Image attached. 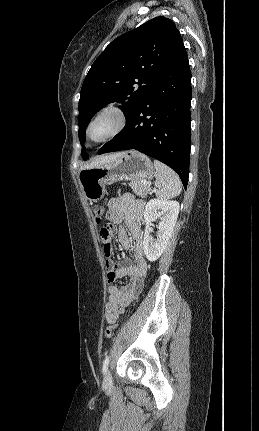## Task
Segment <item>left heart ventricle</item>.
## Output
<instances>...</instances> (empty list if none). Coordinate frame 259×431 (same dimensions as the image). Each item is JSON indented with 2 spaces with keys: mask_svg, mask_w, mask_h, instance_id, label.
Segmentation results:
<instances>
[{
  "mask_svg": "<svg viewBox=\"0 0 259 431\" xmlns=\"http://www.w3.org/2000/svg\"><path fill=\"white\" fill-rule=\"evenodd\" d=\"M114 125L112 116H104L99 119L91 128L90 135L92 139H99L107 134Z\"/></svg>",
  "mask_w": 259,
  "mask_h": 431,
  "instance_id": "obj_1",
  "label": "left heart ventricle"
}]
</instances>
